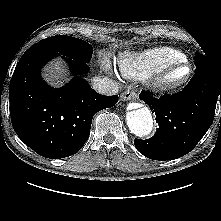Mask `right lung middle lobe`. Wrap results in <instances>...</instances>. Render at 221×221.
Masks as SVG:
<instances>
[{"label":"right lung middle lobe","mask_w":221,"mask_h":221,"mask_svg":"<svg viewBox=\"0 0 221 221\" xmlns=\"http://www.w3.org/2000/svg\"><path fill=\"white\" fill-rule=\"evenodd\" d=\"M45 46L73 60L88 63L92 57L93 48L84 40L66 35L53 36L36 43Z\"/></svg>","instance_id":"1"}]
</instances>
